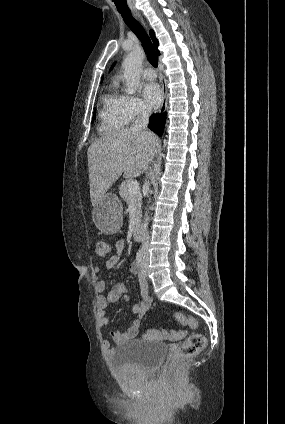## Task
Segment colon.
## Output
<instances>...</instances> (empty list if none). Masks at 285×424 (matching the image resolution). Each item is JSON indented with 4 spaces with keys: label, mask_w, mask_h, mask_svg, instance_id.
Returning a JSON list of instances; mask_svg holds the SVG:
<instances>
[{
    "label": "colon",
    "mask_w": 285,
    "mask_h": 424,
    "mask_svg": "<svg viewBox=\"0 0 285 424\" xmlns=\"http://www.w3.org/2000/svg\"><path fill=\"white\" fill-rule=\"evenodd\" d=\"M93 251L99 258H106L112 253V246L102 240H96L93 243ZM173 317L176 322L184 326L195 327L197 322L194 318L186 316L182 312H175ZM180 331H167V330H149L145 334V338L151 340L161 339H177L182 336ZM205 337L200 333L190 335L182 344L178 345L172 354L173 360H180L183 358L191 357L199 353L205 346Z\"/></svg>",
    "instance_id": "colon-1"
}]
</instances>
